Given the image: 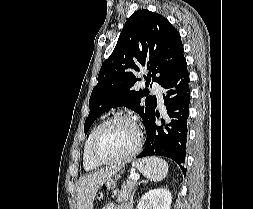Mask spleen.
<instances>
[{
	"label": "spleen",
	"instance_id": "spleen-1",
	"mask_svg": "<svg viewBox=\"0 0 253 209\" xmlns=\"http://www.w3.org/2000/svg\"><path fill=\"white\" fill-rule=\"evenodd\" d=\"M139 172L151 181L159 182L163 180L168 173V164L165 160L158 157H148L133 162Z\"/></svg>",
	"mask_w": 253,
	"mask_h": 209
}]
</instances>
